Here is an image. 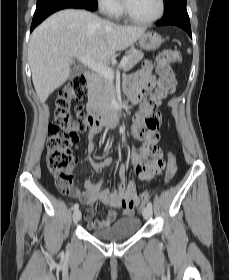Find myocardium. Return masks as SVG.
<instances>
[{"label": "myocardium", "mask_w": 229, "mask_h": 280, "mask_svg": "<svg viewBox=\"0 0 229 280\" xmlns=\"http://www.w3.org/2000/svg\"><path fill=\"white\" fill-rule=\"evenodd\" d=\"M159 2V9L155 15L149 18L141 19L133 16L127 9L125 1L122 0V12L124 16L132 23L139 24V25H150L159 19H161L165 13V0H158Z\"/></svg>", "instance_id": "1"}]
</instances>
